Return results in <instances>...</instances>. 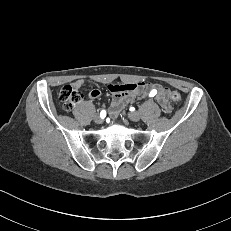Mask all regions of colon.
Returning a JSON list of instances; mask_svg holds the SVG:
<instances>
[{
	"mask_svg": "<svg viewBox=\"0 0 231 231\" xmlns=\"http://www.w3.org/2000/svg\"><path fill=\"white\" fill-rule=\"evenodd\" d=\"M169 97L174 104L179 105L181 103L182 97L178 91H171ZM82 98V93L78 88L72 85H66L59 91V100L62 102L65 110H71L82 100Z\"/></svg>",
	"mask_w": 231,
	"mask_h": 231,
	"instance_id": "colon-1",
	"label": "colon"
}]
</instances>
